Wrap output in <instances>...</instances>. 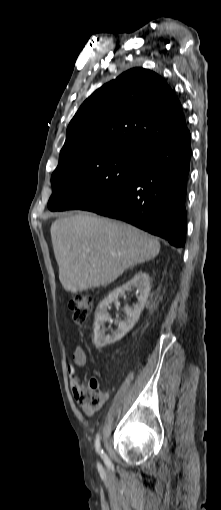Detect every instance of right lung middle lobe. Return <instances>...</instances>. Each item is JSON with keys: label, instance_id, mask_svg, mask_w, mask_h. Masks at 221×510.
<instances>
[{"label": "right lung middle lobe", "instance_id": "obj_1", "mask_svg": "<svg viewBox=\"0 0 221 510\" xmlns=\"http://www.w3.org/2000/svg\"><path fill=\"white\" fill-rule=\"evenodd\" d=\"M147 150L138 147L84 153L59 162L52 174L51 211L83 209L116 194L138 172Z\"/></svg>", "mask_w": 221, "mask_h": 510}]
</instances>
